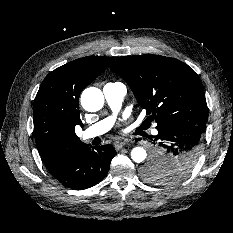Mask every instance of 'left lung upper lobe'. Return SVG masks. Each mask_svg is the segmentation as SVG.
I'll use <instances>...</instances> for the list:
<instances>
[{
    "label": "left lung upper lobe",
    "mask_w": 233,
    "mask_h": 233,
    "mask_svg": "<svg viewBox=\"0 0 233 233\" xmlns=\"http://www.w3.org/2000/svg\"><path fill=\"white\" fill-rule=\"evenodd\" d=\"M111 69L124 79L138 104L157 122V129L176 125L206 126L208 108L198 75L185 63L152 54L123 56ZM195 164L161 166L150 161L142 176L161 184L184 178Z\"/></svg>",
    "instance_id": "1"
}]
</instances>
